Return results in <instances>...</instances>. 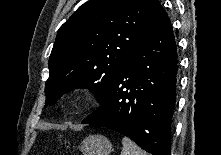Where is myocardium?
I'll list each match as a JSON object with an SVG mask.
<instances>
[{"instance_id": "obj_1", "label": "myocardium", "mask_w": 221, "mask_h": 155, "mask_svg": "<svg viewBox=\"0 0 221 155\" xmlns=\"http://www.w3.org/2000/svg\"><path fill=\"white\" fill-rule=\"evenodd\" d=\"M87 100V93L83 90H75L67 97L69 106L76 108L84 104Z\"/></svg>"}]
</instances>
